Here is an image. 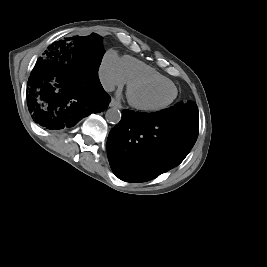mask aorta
<instances>
[{
	"label": "aorta",
	"mask_w": 267,
	"mask_h": 267,
	"mask_svg": "<svg viewBox=\"0 0 267 267\" xmlns=\"http://www.w3.org/2000/svg\"><path fill=\"white\" fill-rule=\"evenodd\" d=\"M105 118L109 123L117 124L121 120V112L118 108H110L106 111Z\"/></svg>",
	"instance_id": "aorta-1"
}]
</instances>
